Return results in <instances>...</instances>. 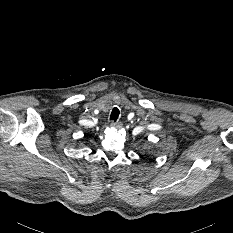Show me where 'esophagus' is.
Instances as JSON below:
<instances>
[{
    "mask_svg": "<svg viewBox=\"0 0 233 233\" xmlns=\"http://www.w3.org/2000/svg\"><path fill=\"white\" fill-rule=\"evenodd\" d=\"M122 125L123 124L121 122H114V121L111 122V126L118 128V129L121 128Z\"/></svg>",
    "mask_w": 233,
    "mask_h": 233,
    "instance_id": "esophagus-1",
    "label": "esophagus"
}]
</instances>
